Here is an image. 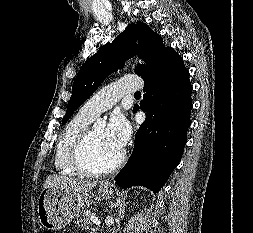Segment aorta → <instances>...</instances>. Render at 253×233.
Instances as JSON below:
<instances>
[{
	"mask_svg": "<svg viewBox=\"0 0 253 233\" xmlns=\"http://www.w3.org/2000/svg\"><path fill=\"white\" fill-rule=\"evenodd\" d=\"M104 124H105V121L102 120V119H98V121L96 122V125H97V126H102V125H104Z\"/></svg>",
	"mask_w": 253,
	"mask_h": 233,
	"instance_id": "obj_1",
	"label": "aorta"
}]
</instances>
